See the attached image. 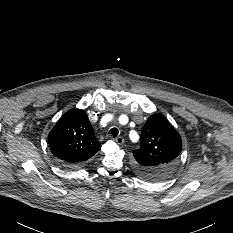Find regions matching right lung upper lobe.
Here are the masks:
<instances>
[{"mask_svg": "<svg viewBox=\"0 0 233 233\" xmlns=\"http://www.w3.org/2000/svg\"><path fill=\"white\" fill-rule=\"evenodd\" d=\"M48 141L52 154L64 165L79 166L100 148L84 110L65 113L51 130Z\"/></svg>", "mask_w": 233, "mask_h": 233, "instance_id": "1", "label": "right lung upper lobe"}]
</instances>
